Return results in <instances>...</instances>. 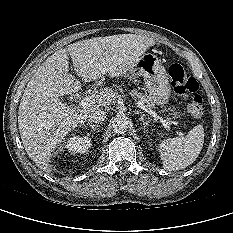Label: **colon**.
<instances>
[{
    "instance_id": "colon-1",
    "label": "colon",
    "mask_w": 233,
    "mask_h": 233,
    "mask_svg": "<svg viewBox=\"0 0 233 233\" xmlns=\"http://www.w3.org/2000/svg\"><path fill=\"white\" fill-rule=\"evenodd\" d=\"M169 76L174 91L182 96L189 97L187 111L194 117L201 116L203 112V98L199 94V84L190 76L182 65L172 64L169 67Z\"/></svg>"
}]
</instances>
